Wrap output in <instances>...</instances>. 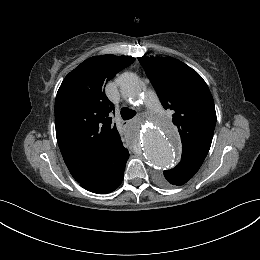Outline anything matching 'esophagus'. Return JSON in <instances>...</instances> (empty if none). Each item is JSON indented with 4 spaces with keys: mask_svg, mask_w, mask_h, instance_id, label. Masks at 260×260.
Listing matches in <instances>:
<instances>
[{
    "mask_svg": "<svg viewBox=\"0 0 260 260\" xmlns=\"http://www.w3.org/2000/svg\"><path fill=\"white\" fill-rule=\"evenodd\" d=\"M122 125H125V122H122Z\"/></svg>",
    "mask_w": 260,
    "mask_h": 260,
    "instance_id": "1",
    "label": "esophagus"
}]
</instances>
